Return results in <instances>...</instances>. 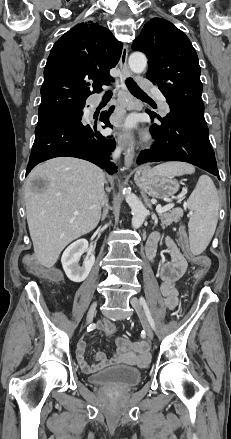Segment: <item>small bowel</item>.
Here are the masks:
<instances>
[{"mask_svg": "<svg viewBox=\"0 0 231 439\" xmlns=\"http://www.w3.org/2000/svg\"><path fill=\"white\" fill-rule=\"evenodd\" d=\"M163 241L166 252L170 259L160 265L158 276L161 279V293L165 304L170 310H174L178 303V289L176 282L183 276L187 269V259L177 244L170 237H162L155 232L150 235L146 244V255L150 260L156 256L159 243ZM98 329L106 335L115 332V325L104 320L98 325ZM116 351L113 357L107 358L104 353L96 355L97 363L90 365L85 359V342L78 344L76 355L81 369L86 373L96 372L104 367L116 364L144 366L149 361L147 344L144 341H130L123 337L115 339Z\"/></svg>", "mask_w": 231, "mask_h": 439, "instance_id": "small-bowel-1", "label": "small bowel"}]
</instances>
